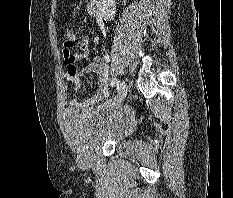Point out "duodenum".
Returning <instances> with one entry per match:
<instances>
[{
  "instance_id": "duodenum-1",
  "label": "duodenum",
  "mask_w": 233,
  "mask_h": 198,
  "mask_svg": "<svg viewBox=\"0 0 233 198\" xmlns=\"http://www.w3.org/2000/svg\"><path fill=\"white\" fill-rule=\"evenodd\" d=\"M88 14L92 17H102V0H89L87 7Z\"/></svg>"
}]
</instances>
